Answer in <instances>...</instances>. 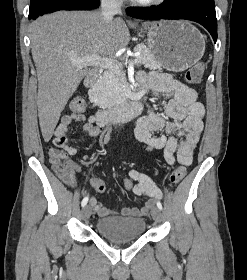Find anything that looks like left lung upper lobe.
I'll return each mask as SVG.
<instances>
[{
	"label": "left lung upper lobe",
	"mask_w": 247,
	"mask_h": 280,
	"mask_svg": "<svg viewBox=\"0 0 247 280\" xmlns=\"http://www.w3.org/2000/svg\"><path fill=\"white\" fill-rule=\"evenodd\" d=\"M178 1H182V0H166V2H169V3H171V2H178Z\"/></svg>",
	"instance_id": "obj_1"
}]
</instances>
